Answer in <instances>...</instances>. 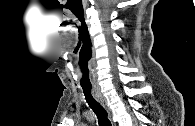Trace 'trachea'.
Here are the masks:
<instances>
[{
    "mask_svg": "<svg viewBox=\"0 0 195 126\" xmlns=\"http://www.w3.org/2000/svg\"><path fill=\"white\" fill-rule=\"evenodd\" d=\"M83 92L88 105L97 115L99 126H111L106 110L93 98L91 94V87H83Z\"/></svg>",
    "mask_w": 195,
    "mask_h": 126,
    "instance_id": "obj_1",
    "label": "trachea"
}]
</instances>
